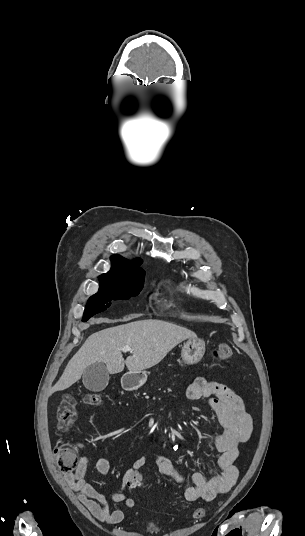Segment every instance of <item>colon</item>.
Masks as SVG:
<instances>
[{
    "label": "colon",
    "mask_w": 305,
    "mask_h": 536,
    "mask_svg": "<svg viewBox=\"0 0 305 536\" xmlns=\"http://www.w3.org/2000/svg\"><path fill=\"white\" fill-rule=\"evenodd\" d=\"M233 355L230 344L223 342L219 343L213 350V356L222 361L229 360ZM82 402L87 406H98L102 402V396L99 393L90 392L82 397ZM76 420L75 399L71 395H66L57 410L56 424L60 431H66ZM78 447L74 443L68 445L57 446L54 453L58 459L59 468L63 473L76 471L77 469V454ZM129 475L132 477L130 483L134 489H137L144 480L142 474L138 473L136 468L129 470ZM206 512L203 509H197L194 512L196 518H203Z\"/></svg>",
    "instance_id": "5ec220e1"
}]
</instances>
